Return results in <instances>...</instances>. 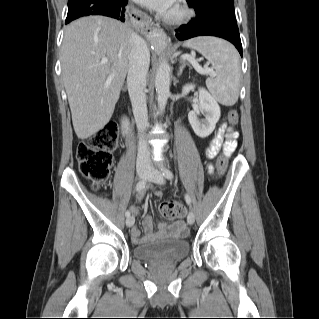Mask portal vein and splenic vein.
<instances>
[{"mask_svg": "<svg viewBox=\"0 0 319 319\" xmlns=\"http://www.w3.org/2000/svg\"><path fill=\"white\" fill-rule=\"evenodd\" d=\"M181 59L191 62L193 67L195 68V70L198 73H200V74H213V71L211 69H209V68H205V69L201 68L199 66V64L197 63L196 59L193 56H191V55H187V54L186 55H182ZM107 62H108V59H106V58L102 59V61H101V63H103V64H105Z\"/></svg>", "mask_w": 319, "mask_h": 319, "instance_id": "portal-vein-and-splenic-vein-1", "label": "portal vein and splenic vein"}]
</instances>
